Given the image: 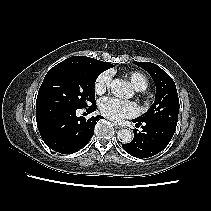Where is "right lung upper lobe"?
<instances>
[{"instance_id":"right-lung-upper-lobe-1","label":"right lung upper lobe","mask_w":211,"mask_h":211,"mask_svg":"<svg viewBox=\"0 0 211 211\" xmlns=\"http://www.w3.org/2000/svg\"><path fill=\"white\" fill-rule=\"evenodd\" d=\"M67 60L78 61V62H100L105 66L111 65L110 63H106V62L99 61L94 58L85 57V56H74V57L68 58Z\"/></svg>"}]
</instances>
